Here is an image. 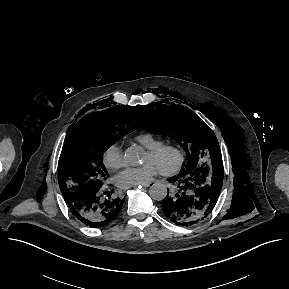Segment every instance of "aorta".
<instances>
[{
	"label": "aorta",
	"instance_id": "1",
	"mask_svg": "<svg viewBox=\"0 0 289 289\" xmlns=\"http://www.w3.org/2000/svg\"><path fill=\"white\" fill-rule=\"evenodd\" d=\"M144 150L139 146H130L124 153V160L131 166L143 163ZM149 195L153 200L161 201L167 195V187L163 183H154L149 189Z\"/></svg>",
	"mask_w": 289,
	"mask_h": 289
}]
</instances>
